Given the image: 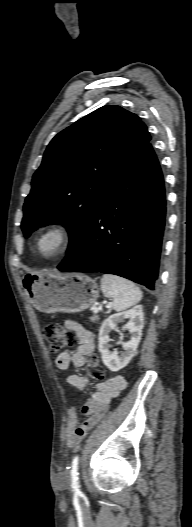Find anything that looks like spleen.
<instances>
[{"label":"spleen","mask_w":192,"mask_h":527,"mask_svg":"<svg viewBox=\"0 0 192 527\" xmlns=\"http://www.w3.org/2000/svg\"><path fill=\"white\" fill-rule=\"evenodd\" d=\"M101 290L105 297L112 299L116 311L128 309L142 299L141 290L133 282L116 275H103Z\"/></svg>","instance_id":"spleen-1"}]
</instances>
